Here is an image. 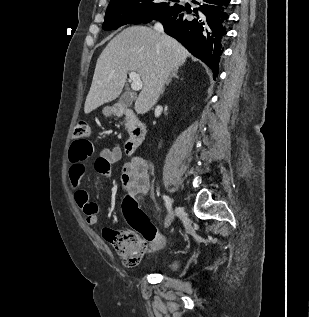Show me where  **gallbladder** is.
Segmentation results:
<instances>
[{
  "instance_id": "bac80fb5",
  "label": "gallbladder",
  "mask_w": 309,
  "mask_h": 317,
  "mask_svg": "<svg viewBox=\"0 0 309 317\" xmlns=\"http://www.w3.org/2000/svg\"><path fill=\"white\" fill-rule=\"evenodd\" d=\"M132 97L130 96V94H128V93H124L121 97H120V99H119V103L123 106V107H125V108H127V107H129L131 104H132Z\"/></svg>"
}]
</instances>
